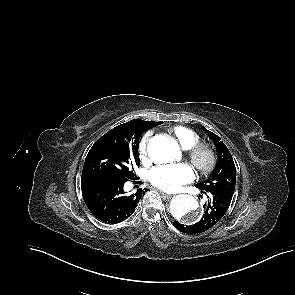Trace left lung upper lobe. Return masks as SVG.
Wrapping results in <instances>:
<instances>
[{"label": "left lung upper lobe", "instance_id": "left-lung-upper-lobe-1", "mask_svg": "<svg viewBox=\"0 0 295 295\" xmlns=\"http://www.w3.org/2000/svg\"><path fill=\"white\" fill-rule=\"evenodd\" d=\"M205 132L216 146L217 164L208 179L198 183L196 187L205 192L221 191L233 195L236 184V168L232 155L216 134L207 129Z\"/></svg>", "mask_w": 295, "mask_h": 295}]
</instances>
